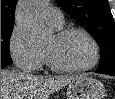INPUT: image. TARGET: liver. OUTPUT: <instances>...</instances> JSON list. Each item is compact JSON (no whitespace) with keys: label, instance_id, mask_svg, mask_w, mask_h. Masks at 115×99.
<instances>
[{"label":"liver","instance_id":"6515ba94","mask_svg":"<svg viewBox=\"0 0 115 99\" xmlns=\"http://www.w3.org/2000/svg\"><path fill=\"white\" fill-rule=\"evenodd\" d=\"M78 77H42L1 70V99H47Z\"/></svg>","mask_w":115,"mask_h":99}]
</instances>
